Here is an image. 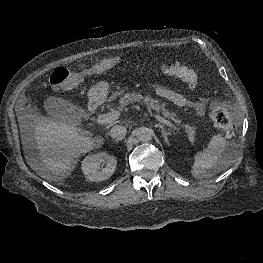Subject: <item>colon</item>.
Listing matches in <instances>:
<instances>
[{"label": "colon", "mask_w": 263, "mask_h": 263, "mask_svg": "<svg viewBox=\"0 0 263 263\" xmlns=\"http://www.w3.org/2000/svg\"><path fill=\"white\" fill-rule=\"evenodd\" d=\"M122 62L123 59L121 57L115 56L101 59L80 72H71L65 68H57L50 77V84L56 90L72 88L83 82L86 78L102 74L120 65ZM159 71L163 75L180 78L187 83L191 89L197 87L198 78L196 73L179 62L164 64L160 67ZM210 118L214 126L222 130L227 137L233 135L232 120L224 107L214 105L210 113Z\"/></svg>", "instance_id": "1"}]
</instances>
